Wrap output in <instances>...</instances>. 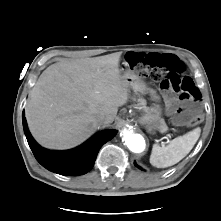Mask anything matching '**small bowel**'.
<instances>
[{"instance_id": "obj_1", "label": "small bowel", "mask_w": 221, "mask_h": 221, "mask_svg": "<svg viewBox=\"0 0 221 221\" xmlns=\"http://www.w3.org/2000/svg\"><path fill=\"white\" fill-rule=\"evenodd\" d=\"M134 53L139 56L141 62H145L146 56L149 54L146 52H134ZM165 102H166V107L169 113L174 112L179 106L181 107L182 105L181 102H178L174 97L170 95L165 96Z\"/></svg>"}]
</instances>
